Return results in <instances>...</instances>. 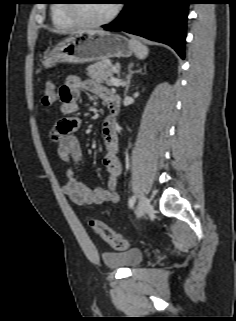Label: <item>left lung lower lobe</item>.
I'll return each instance as SVG.
<instances>
[{"label": "left lung lower lobe", "mask_w": 236, "mask_h": 321, "mask_svg": "<svg viewBox=\"0 0 236 321\" xmlns=\"http://www.w3.org/2000/svg\"><path fill=\"white\" fill-rule=\"evenodd\" d=\"M121 14L102 27L125 31L171 46L184 59L190 0H124Z\"/></svg>", "instance_id": "left-lung-lower-lobe-1"}]
</instances>
